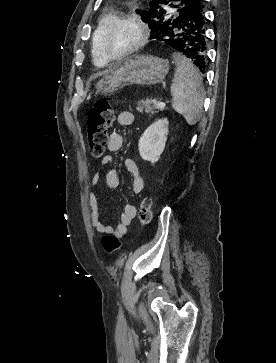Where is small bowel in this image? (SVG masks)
<instances>
[{"label":"small bowel","mask_w":276,"mask_h":363,"mask_svg":"<svg viewBox=\"0 0 276 363\" xmlns=\"http://www.w3.org/2000/svg\"><path fill=\"white\" fill-rule=\"evenodd\" d=\"M117 122L121 126H131L135 123V116L130 111H121L117 115ZM123 145V137L120 133L113 132L109 135L107 141V148L110 152H116L121 149ZM112 156H106L102 160L103 165L112 162ZM125 168L132 177V190L135 194H140L144 188V182L140 175L139 168L135 161L131 158L125 160ZM100 181V173L96 172L92 178V186H96ZM105 183L111 188L115 189L119 185V175L116 169L111 168L105 174ZM88 200L91 209V224L95 231L99 233L112 234L117 238H122L128 232V227L137 215V208L134 204L129 203L124 207V211L120 217L119 223L116 227H112L101 221L100 211L98 205V198L96 193L91 190L88 193Z\"/></svg>","instance_id":"1"}]
</instances>
